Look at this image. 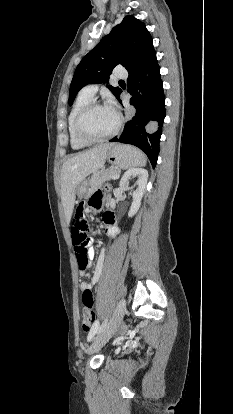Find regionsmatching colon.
<instances>
[{"label": "colon", "instance_id": "1", "mask_svg": "<svg viewBox=\"0 0 233 414\" xmlns=\"http://www.w3.org/2000/svg\"><path fill=\"white\" fill-rule=\"evenodd\" d=\"M72 239L79 269L85 270L89 267L90 258L88 255L89 236L87 233V223L85 221L82 207H78L72 223ZM83 303V329L89 331L95 320V312L93 310L94 299L90 289H86L82 293Z\"/></svg>", "mask_w": 233, "mask_h": 414}]
</instances>
